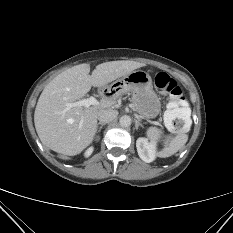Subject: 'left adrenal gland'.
I'll list each match as a JSON object with an SVG mask.
<instances>
[{
    "label": "left adrenal gland",
    "instance_id": "left-adrenal-gland-1",
    "mask_svg": "<svg viewBox=\"0 0 233 233\" xmlns=\"http://www.w3.org/2000/svg\"><path fill=\"white\" fill-rule=\"evenodd\" d=\"M139 127L143 128L142 124L137 119H135V128L138 129Z\"/></svg>",
    "mask_w": 233,
    "mask_h": 233
}]
</instances>
